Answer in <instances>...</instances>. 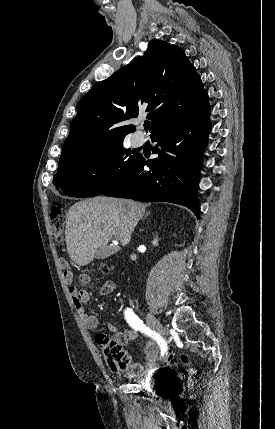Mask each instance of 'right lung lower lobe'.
I'll return each instance as SVG.
<instances>
[{
    "instance_id": "obj_1",
    "label": "right lung lower lobe",
    "mask_w": 275,
    "mask_h": 429,
    "mask_svg": "<svg viewBox=\"0 0 275 429\" xmlns=\"http://www.w3.org/2000/svg\"><path fill=\"white\" fill-rule=\"evenodd\" d=\"M210 108L196 118L166 126L151 135L157 142L148 162L140 156L133 170L105 196L142 202H171L188 207L199 218L196 199L201 154L208 141ZM147 165L150 170H145Z\"/></svg>"
}]
</instances>
